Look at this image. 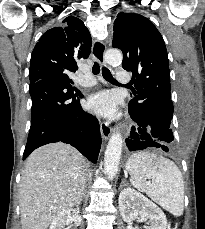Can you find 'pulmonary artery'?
<instances>
[{"label": "pulmonary artery", "instance_id": "1", "mask_svg": "<svg viewBox=\"0 0 205 229\" xmlns=\"http://www.w3.org/2000/svg\"><path fill=\"white\" fill-rule=\"evenodd\" d=\"M116 79L119 84L126 85L131 81V75L125 70H119ZM79 83L82 86H92L96 83V80L92 76L86 75L80 78Z\"/></svg>", "mask_w": 205, "mask_h": 229}]
</instances>
